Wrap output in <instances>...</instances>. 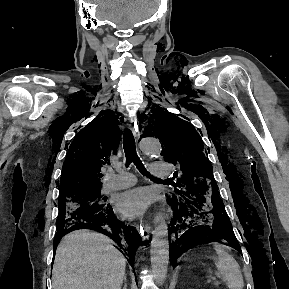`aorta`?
I'll return each instance as SVG.
<instances>
[{
    "label": "aorta",
    "mask_w": 289,
    "mask_h": 289,
    "mask_svg": "<svg viewBox=\"0 0 289 289\" xmlns=\"http://www.w3.org/2000/svg\"><path fill=\"white\" fill-rule=\"evenodd\" d=\"M140 150L145 156L157 158L160 156L162 148L159 140L145 137L140 141ZM150 255L154 279L158 285H162L166 279L169 264L168 229L164 221L154 230Z\"/></svg>",
    "instance_id": "762f6f07"
}]
</instances>
